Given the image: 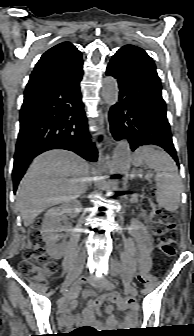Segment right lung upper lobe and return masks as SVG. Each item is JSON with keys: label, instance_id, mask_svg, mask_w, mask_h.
<instances>
[{"label": "right lung upper lobe", "instance_id": "1", "mask_svg": "<svg viewBox=\"0 0 194 336\" xmlns=\"http://www.w3.org/2000/svg\"><path fill=\"white\" fill-rule=\"evenodd\" d=\"M83 64L80 51L70 42H62L42 55L27 84L25 94L59 82Z\"/></svg>", "mask_w": 194, "mask_h": 336}]
</instances>
